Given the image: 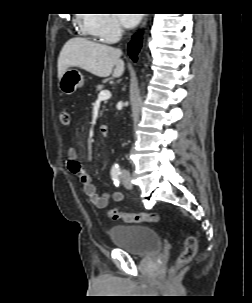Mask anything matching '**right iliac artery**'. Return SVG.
I'll use <instances>...</instances> for the list:
<instances>
[{
    "label": "right iliac artery",
    "instance_id": "1",
    "mask_svg": "<svg viewBox=\"0 0 252 303\" xmlns=\"http://www.w3.org/2000/svg\"><path fill=\"white\" fill-rule=\"evenodd\" d=\"M120 175H121V171H120L119 166L114 165L111 169V177L116 186H119V184H120Z\"/></svg>",
    "mask_w": 252,
    "mask_h": 303
}]
</instances>
